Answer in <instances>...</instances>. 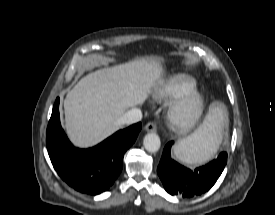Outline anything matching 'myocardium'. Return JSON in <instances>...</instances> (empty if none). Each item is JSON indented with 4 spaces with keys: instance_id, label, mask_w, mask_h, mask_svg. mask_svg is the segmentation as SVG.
<instances>
[{
    "instance_id": "f54148a6",
    "label": "myocardium",
    "mask_w": 275,
    "mask_h": 215,
    "mask_svg": "<svg viewBox=\"0 0 275 215\" xmlns=\"http://www.w3.org/2000/svg\"><path fill=\"white\" fill-rule=\"evenodd\" d=\"M205 108L204 97L197 91L177 98L168 111L170 126L178 133L191 131L201 120Z\"/></svg>"
}]
</instances>
